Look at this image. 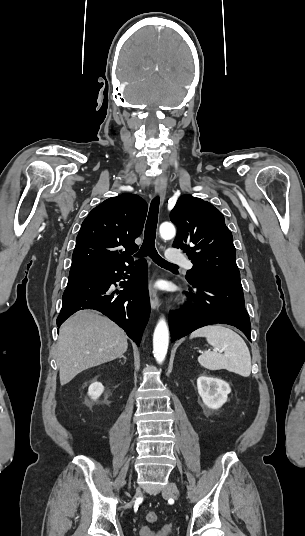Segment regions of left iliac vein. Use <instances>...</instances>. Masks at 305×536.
<instances>
[{
  "instance_id": "1",
  "label": "left iliac vein",
  "mask_w": 305,
  "mask_h": 536,
  "mask_svg": "<svg viewBox=\"0 0 305 536\" xmlns=\"http://www.w3.org/2000/svg\"><path fill=\"white\" fill-rule=\"evenodd\" d=\"M163 493L173 498H178L180 496L179 490L172 482L168 483V485L163 489Z\"/></svg>"
}]
</instances>
